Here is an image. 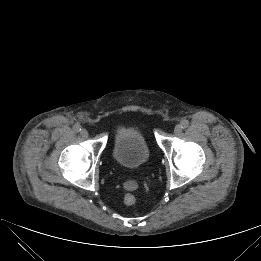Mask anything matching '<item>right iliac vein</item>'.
Segmentation results:
<instances>
[{
  "label": "right iliac vein",
  "mask_w": 261,
  "mask_h": 261,
  "mask_svg": "<svg viewBox=\"0 0 261 261\" xmlns=\"http://www.w3.org/2000/svg\"><path fill=\"white\" fill-rule=\"evenodd\" d=\"M81 135H82L83 137H87V136H88V131H87L86 129H82V130H81Z\"/></svg>",
  "instance_id": "1"
}]
</instances>
